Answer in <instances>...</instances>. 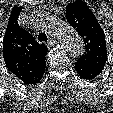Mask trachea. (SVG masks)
<instances>
[{
  "label": "trachea",
  "instance_id": "trachea-1",
  "mask_svg": "<svg viewBox=\"0 0 113 113\" xmlns=\"http://www.w3.org/2000/svg\"><path fill=\"white\" fill-rule=\"evenodd\" d=\"M38 40L40 41V42H47V35L45 34V33H39V35H38Z\"/></svg>",
  "mask_w": 113,
  "mask_h": 113
}]
</instances>
